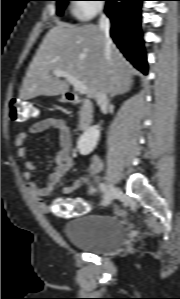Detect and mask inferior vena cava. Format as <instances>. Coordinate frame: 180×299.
<instances>
[{"label": "inferior vena cava", "instance_id": "1", "mask_svg": "<svg viewBox=\"0 0 180 299\" xmlns=\"http://www.w3.org/2000/svg\"><path fill=\"white\" fill-rule=\"evenodd\" d=\"M99 28L104 32L106 39L108 41V44L111 43V39L109 37V29H110V21L109 18L104 14L101 13L100 19H99ZM108 101L106 92L104 90L100 91L97 97V102L99 104L105 103Z\"/></svg>", "mask_w": 180, "mask_h": 299}]
</instances>
